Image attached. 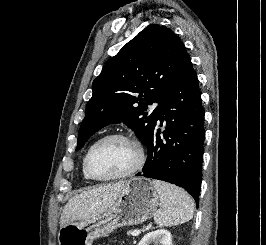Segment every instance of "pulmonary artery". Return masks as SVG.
Instances as JSON below:
<instances>
[{"label":"pulmonary artery","mask_w":266,"mask_h":245,"mask_svg":"<svg viewBox=\"0 0 266 245\" xmlns=\"http://www.w3.org/2000/svg\"><path fill=\"white\" fill-rule=\"evenodd\" d=\"M156 106H157V104L156 103H154L151 107H150V109L151 110H153V109H155L156 108Z\"/></svg>","instance_id":"obj_1"}]
</instances>
